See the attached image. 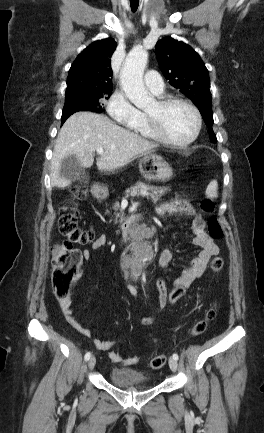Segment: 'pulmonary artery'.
<instances>
[{"instance_id": "1", "label": "pulmonary artery", "mask_w": 264, "mask_h": 433, "mask_svg": "<svg viewBox=\"0 0 264 433\" xmlns=\"http://www.w3.org/2000/svg\"><path fill=\"white\" fill-rule=\"evenodd\" d=\"M146 87L155 95L161 96L164 93V81L160 74L156 71H148L145 76Z\"/></svg>"}]
</instances>
